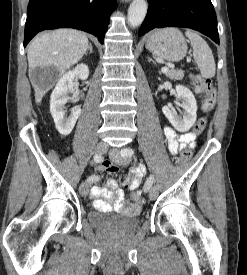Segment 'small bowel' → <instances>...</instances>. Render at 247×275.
<instances>
[{"label":"small bowel","mask_w":247,"mask_h":275,"mask_svg":"<svg viewBox=\"0 0 247 275\" xmlns=\"http://www.w3.org/2000/svg\"><path fill=\"white\" fill-rule=\"evenodd\" d=\"M164 135L168 142V149L171 154L175 155L187 145L194 146L196 135L193 132H186L177 134L172 127L164 128ZM109 172H116L117 167L113 165L111 169L100 168ZM144 175V168L142 166L135 167L131 170L128 179L124 180L122 187L116 180H108L104 186H95L90 192L89 200L94 208L103 211L112 210L111 204L114 201V207L125 212L136 213L140 210V204L128 203L126 190H135L139 187L142 177Z\"/></svg>","instance_id":"1"}]
</instances>
